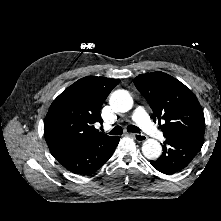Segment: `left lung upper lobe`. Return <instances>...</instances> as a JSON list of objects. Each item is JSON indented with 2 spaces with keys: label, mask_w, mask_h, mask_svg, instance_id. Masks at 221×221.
<instances>
[{
  "label": "left lung upper lobe",
  "mask_w": 221,
  "mask_h": 221,
  "mask_svg": "<svg viewBox=\"0 0 221 221\" xmlns=\"http://www.w3.org/2000/svg\"><path fill=\"white\" fill-rule=\"evenodd\" d=\"M134 84L149 103L153 119L167 139L204 137L202 107L192 91L172 76L156 71L137 76Z\"/></svg>",
  "instance_id": "left-lung-upper-lobe-1"
}]
</instances>
